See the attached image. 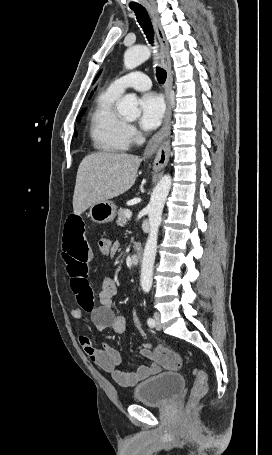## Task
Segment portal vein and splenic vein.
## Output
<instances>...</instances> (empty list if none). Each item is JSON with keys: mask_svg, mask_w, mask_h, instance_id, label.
I'll return each mask as SVG.
<instances>
[{"mask_svg": "<svg viewBox=\"0 0 272 455\" xmlns=\"http://www.w3.org/2000/svg\"><path fill=\"white\" fill-rule=\"evenodd\" d=\"M125 215H126V217H127L128 219H130L131 216H132V212H131L130 210H127L126 213H125Z\"/></svg>", "mask_w": 272, "mask_h": 455, "instance_id": "18ae733b", "label": "portal vein and splenic vein"}]
</instances>
